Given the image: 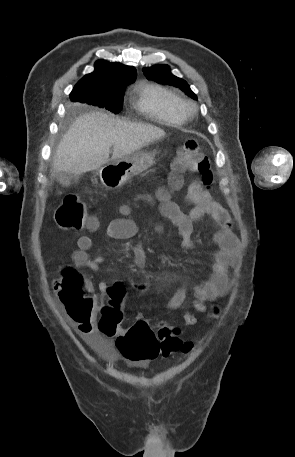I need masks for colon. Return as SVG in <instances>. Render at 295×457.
Wrapping results in <instances>:
<instances>
[{
  "label": "colon",
  "instance_id": "colon-1",
  "mask_svg": "<svg viewBox=\"0 0 295 457\" xmlns=\"http://www.w3.org/2000/svg\"><path fill=\"white\" fill-rule=\"evenodd\" d=\"M173 174L170 184L173 188L182 185L181 175L186 172L201 174L204 187L209 190L213 181L208 158L200 151L195 139H189L177 150L172 163ZM166 196L165 193H162ZM56 222L64 229L81 230L95 229L96 220L86 210V206L77 195H67L56 211ZM55 290L61 304L69 317L81 321H89L94 308L92 289L86 279L74 268L66 267L55 281ZM124 287L116 285L109 290L111 303L101 309L98 329L107 336L117 335L116 349L120 359L128 360H159L160 356L169 357L179 352L189 355L194 349L193 341H181L179 329L162 324L158 334L152 330L145 320H138L128 331H119L121 314L118 306L124 297ZM217 311V309H215Z\"/></svg>",
  "mask_w": 295,
  "mask_h": 457
}]
</instances>
